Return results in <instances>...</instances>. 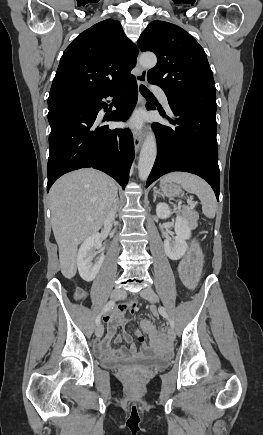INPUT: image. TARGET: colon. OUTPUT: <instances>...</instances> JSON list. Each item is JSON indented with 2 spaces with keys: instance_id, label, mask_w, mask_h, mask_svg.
Segmentation results:
<instances>
[{
  "instance_id": "colon-1",
  "label": "colon",
  "mask_w": 263,
  "mask_h": 435,
  "mask_svg": "<svg viewBox=\"0 0 263 435\" xmlns=\"http://www.w3.org/2000/svg\"><path fill=\"white\" fill-rule=\"evenodd\" d=\"M77 295H78L79 297H81V296L83 295L82 290H78ZM160 327H161V328H160V331H161V332H165V331H166L170 326H169L168 324H161ZM151 341H153V340L151 339ZM161 342H162V341H161ZM126 379H127L129 382L135 383V382L139 381V379H140V374H139L138 372H131V373H129V374L126 376Z\"/></svg>"
}]
</instances>
